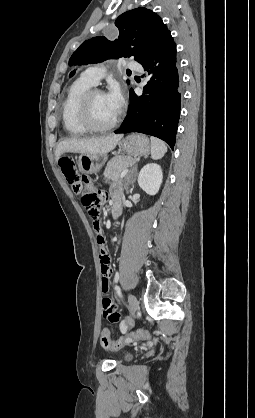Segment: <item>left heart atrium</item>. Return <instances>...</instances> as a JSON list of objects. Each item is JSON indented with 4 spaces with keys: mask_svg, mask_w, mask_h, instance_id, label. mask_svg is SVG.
Segmentation results:
<instances>
[{
    "mask_svg": "<svg viewBox=\"0 0 255 418\" xmlns=\"http://www.w3.org/2000/svg\"><path fill=\"white\" fill-rule=\"evenodd\" d=\"M106 99L111 106V108L118 113L124 106L125 100L121 90L114 86L106 94Z\"/></svg>",
    "mask_w": 255,
    "mask_h": 418,
    "instance_id": "1",
    "label": "left heart atrium"
}]
</instances>
